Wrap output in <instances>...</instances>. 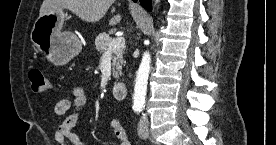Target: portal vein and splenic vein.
<instances>
[{"label": "portal vein and splenic vein", "mask_w": 276, "mask_h": 145, "mask_svg": "<svg viewBox=\"0 0 276 145\" xmlns=\"http://www.w3.org/2000/svg\"><path fill=\"white\" fill-rule=\"evenodd\" d=\"M125 45V39L123 37H116L115 39H113L109 46H108V51H113L119 48L124 47Z\"/></svg>", "instance_id": "1"}]
</instances>
